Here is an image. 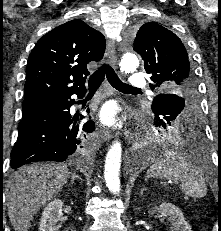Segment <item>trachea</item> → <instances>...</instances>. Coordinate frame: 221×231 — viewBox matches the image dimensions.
I'll use <instances>...</instances> for the list:
<instances>
[{
    "instance_id": "3493384b",
    "label": "trachea",
    "mask_w": 221,
    "mask_h": 231,
    "mask_svg": "<svg viewBox=\"0 0 221 231\" xmlns=\"http://www.w3.org/2000/svg\"><path fill=\"white\" fill-rule=\"evenodd\" d=\"M107 77V80L109 81V83L117 90L119 91H128V90H136L139 91L140 89L138 88H134L129 86L126 83H123L117 76V74L115 73V71L113 70V68L108 65V64H104L102 65L96 72H94L88 81V86H89V90L90 91H96L100 84L102 83L104 77Z\"/></svg>"
}]
</instances>
